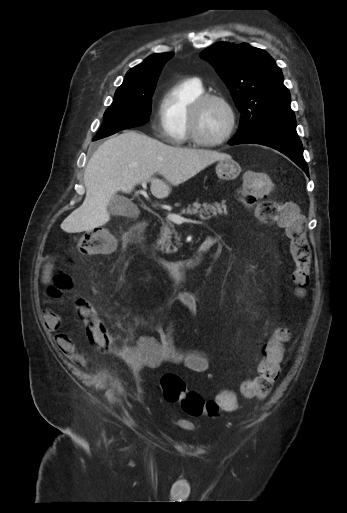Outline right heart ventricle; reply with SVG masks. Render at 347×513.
Here are the masks:
<instances>
[{
	"label": "right heart ventricle",
	"instance_id": "1",
	"mask_svg": "<svg viewBox=\"0 0 347 513\" xmlns=\"http://www.w3.org/2000/svg\"><path fill=\"white\" fill-rule=\"evenodd\" d=\"M204 93L203 85L195 79L179 80L165 90L160 101L159 113L162 134L169 143L183 145L189 142V107Z\"/></svg>",
	"mask_w": 347,
	"mask_h": 513
}]
</instances>
